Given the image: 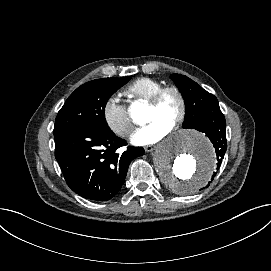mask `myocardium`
<instances>
[{"label":"myocardium","mask_w":271,"mask_h":271,"mask_svg":"<svg viewBox=\"0 0 271 271\" xmlns=\"http://www.w3.org/2000/svg\"><path fill=\"white\" fill-rule=\"evenodd\" d=\"M174 92L178 95L180 102H181V111L180 114L175 118V120L172 123L171 129H177L181 124H183L187 118L188 115V99L183 91V89L176 85V84H169L162 86L152 97V99L149 101V106L153 107L154 109H160L163 103L164 97L170 93Z\"/></svg>","instance_id":"myocardium-1"}]
</instances>
